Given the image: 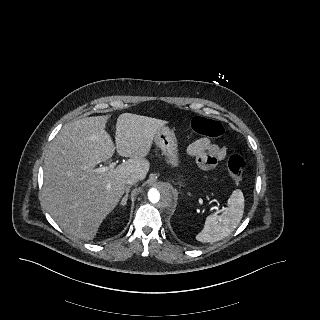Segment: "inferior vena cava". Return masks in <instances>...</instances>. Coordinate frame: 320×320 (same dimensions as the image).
<instances>
[{
  "mask_svg": "<svg viewBox=\"0 0 320 320\" xmlns=\"http://www.w3.org/2000/svg\"><path fill=\"white\" fill-rule=\"evenodd\" d=\"M138 180H139L138 176L136 174H133V175H130L127 177L126 184L132 185V184L137 183Z\"/></svg>",
  "mask_w": 320,
  "mask_h": 320,
  "instance_id": "1",
  "label": "inferior vena cava"
}]
</instances>
